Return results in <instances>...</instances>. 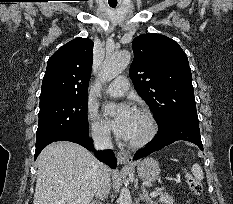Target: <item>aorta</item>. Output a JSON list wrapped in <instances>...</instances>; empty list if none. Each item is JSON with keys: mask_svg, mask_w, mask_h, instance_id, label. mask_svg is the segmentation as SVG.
Instances as JSON below:
<instances>
[{"mask_svg": "<svg viewBox=\"0 0 233 204\" xmlns=\"http://www.w3.org/2000/svg\"><path fill=\"white\" fill-rule=\"evenodd\" d=\"M131 54L122 50L105 58L102 65L100 79L108 82L121 74L130 63ZM119 204H132L131 193L128 188H122L119 195Z\"/></svg>", "mask_w": 233, "mask_h": 204, "instance_id": "1", "label": "aorta"}]
</instances>
